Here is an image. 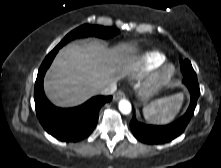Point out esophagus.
<instances>
[{
    "instance_id": "esophagus-1",
    "label": "esophagus",
    "mask_w": 221,
    "mask_h": 168,
    "mask_svg": "<svg viewBox=\"0 0 221 168\" xmlns=\"http://www.w3.org/2000/svg\"><path fill=\"white\" fill-rule=\"evenodd\" d=\"M124 97H125V94L122 91H118L117 93L114 94L113 99L117 101Z\"/></svg>"
}]
</instances>
